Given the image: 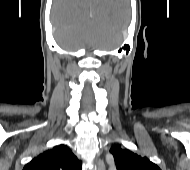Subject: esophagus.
Returning <instances> with one entry per match:
<instances>
[{
	"label": "esophagus",
	"instance_id": "34e87169",
	"mask_svg": "<svg viewBox=\"0 0 190 170\" xmlns=\"http://www.w3.org/2000/svg\"><path fill=\"white\" fill-rule=\"evenodd\" d=\"M95 164H96V169L95 170H106L105 164L101 159L97 158L96 161H95Z\"/></svg>",
	"mask_w": 190,
	"mask_h": 170
}]
</instances>
